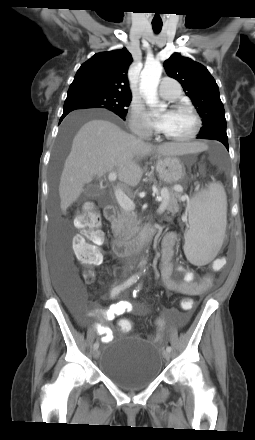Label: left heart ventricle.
Wrapping results in <instances>:
<instances>
[{"label":"left heart ventricle","mask_w":255,"mask_h":440,"mask_svg":"<svg viewBox=\"0 0 255 440\" xmlns=\"http://www.w3.org/2000/svg\"><path fill=\"white\" fill-rule=\"evenodd\" d=\"M194 128L192 116L185 110H174L171 112V119L165 134L181 138L188 135Z\"/></svg>","instance_id":"b2bd125f"}]
</instances>
